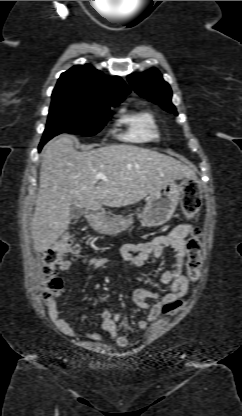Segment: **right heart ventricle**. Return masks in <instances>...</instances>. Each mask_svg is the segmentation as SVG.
<instances>
[{
  "mask_svg": "<svg viewBox=\"0 0 242 416\" xmlns=\"http://www.w3.org/2000/svg\"><path fill=\"white\" fill-rule=\"evenodd\" d=\"M121 122L127 127L126 138L134 142H146L158 138V126L150 111L124 113Z\"/></svg>",
  "mask_w": 242,
  "mask_h": 416,
  "instance_id": "obj_1",
  "label": "right heart ventricle"
}]
</instances>
